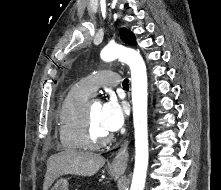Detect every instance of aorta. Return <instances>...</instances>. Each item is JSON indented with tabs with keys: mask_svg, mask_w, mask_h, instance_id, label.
Masks as SVG:
<instances>
[{
	"mask_svg": "<svg viewBox=\"0 0 221 190\" xmlns=\"http://www.w3.org/2000/svg\"><path fill=\"white\" fill-rule=\"evenodd\" d=\"M100 55L107 62L119 59L131 70L135 165L130 190H144L149 159L146 65L139 52L122 45L106 46Z\"/></svg>",
	"mask_w": 221,
	"mask_h": 190,
	"instance_id": "762f6f07",
	"label": "aorta"
}]
</instances>
